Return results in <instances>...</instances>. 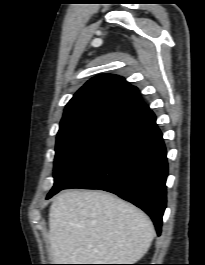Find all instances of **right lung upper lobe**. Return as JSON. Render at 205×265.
Wrapping results in <instances>:
<instances>
[{
	"instance_id": "cb5924a9",
	"label": "right lung upper lobe",
	"mask_w": 205,
	"mask_h": 265,
	"mask_svg": "<svg viewBox=\"0 0 205 265\" xmlns=\"http://www.w3.org/2000/svg\"><path fill=\"white\" fill-rule=\"evenodd\" d=\"M149 107L137 87L121 76L105 74L90 79L65 107L58 134L95 124L127 126Z\"/></svg>"
}]
</instances>
